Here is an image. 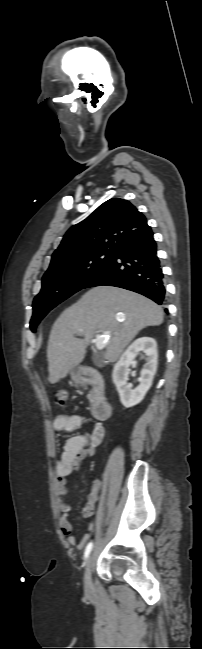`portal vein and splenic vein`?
I'll list each match as a JSON object with an SVG mask.
<instances>
[{
  "label": "portal vein and splenic vein",
  "instance_id": "portal-vein-and-splenic-vein-1",
  "mask_svg": "<svg viewBox=\"0 0 202 649\" xmlns=\"http://www.w3.org/2000/svg\"><path fill=\"white\" fill-rule=\"evenodd\" d=\"M94 342L96 344V347L98 349H101L108 342V335L107 334H96Z\"/></svg>",
  "mask_w": 202,
  "mask_h": 649
}]
</instances>
